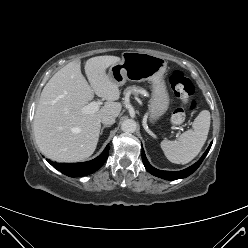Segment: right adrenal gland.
<instances>
[{"label": "right adrenal gland", "instance_id": "obj_1", "mask_svg": "<svg viewBox=\"0 0 248 248\" xmlns=\"http://www.w3.org/2000/svg\"><path fill=\"white\" fill-rule=\"evenodd\" d=\"M107 127H110V125H104V126H102L101 131H100V135H102L104 128H107Z\"/></svg>", "mask_w": 248, "mask_h": 248}]
</instances>
